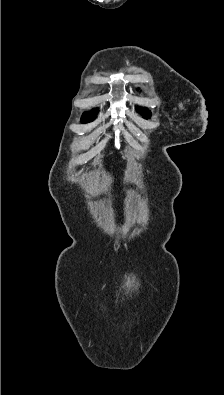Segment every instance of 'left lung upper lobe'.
Returning <instances> with one entry per match:
<instances>
[{
	"instance_id": "left-lung-upper-lobe-1",
	"label": "left lung upper lobe",
	"mask_w": 224,
	"mask_h": 395,
	"mask_svg": "<svg viewBox=\"0 0 224 395\" xmlns=\"http://www.w3.org/2000/svg\"><path fill=\"white\" fill-rule=\"evenodd\" d=\"M139 111L144 118H150V111H147L146 109H139Z\"/></svg>"
}]
</instances>
